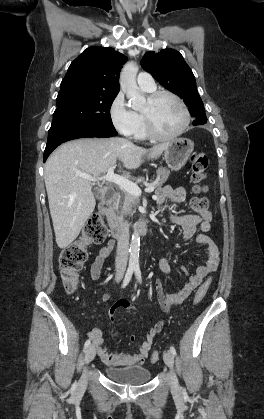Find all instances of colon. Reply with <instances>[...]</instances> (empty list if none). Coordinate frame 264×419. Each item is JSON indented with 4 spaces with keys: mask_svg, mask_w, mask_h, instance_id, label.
<instances>
[{
    "mask_svg": "<svg viewBox=\"0 0 264 419\" xmlns=\"http://www.w3.org/2000/svg\"><path fill=\"white\" fill-rule=\"evenodd\" d=\"M192 169L191 179L194 184L193 190L197 194L192 200V207L195 211L201 213L207 210V200L200 196L206 191L203 184L206 170L208 167V158L201 151H194L190 156ZM107 235V227L101 214H93L86 222L81 237L65 247L59 255V267L64 287L67 292L73 293L78 287V272L87 260L86 245L90 243L99 244L103 242ZM210 280L207 279L198 289L194 303L198 304L206 295ZM151 361L156 362L159 359V352L154 351L151 354Z\"/></svg>",
    "mask_w": 264,
    "mask_h": 419,
    "instance_id": "colon-1",
    "label": "colon"
}]
</instances>
